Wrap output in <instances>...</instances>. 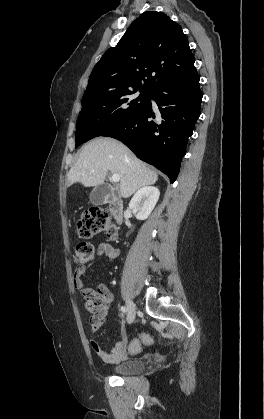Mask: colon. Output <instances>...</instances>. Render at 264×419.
Instances as JSON below:
<instances>
[{
	"label": "colon",
	"instance_id": "obj_1",
	"mask_svg": "<svg viewBox=\"0 0 264 419\" xmlns=\"http://www.w3.org/2000/svg\"><path fill=\"white\" fill-rule=\"evenodd\" d=\"M101 232H105L111 240H115L117 237V227L106 209H91L78 219L77 233L82 239H88ZM73 257L77 264L86 265L91 263L94 258L93 246L86 240L79 241L75 246ZM86 307L89 311H94L97 309L98 303L92 298H87ZM90 322L93 323V319ZM151 342H153L151 335L141 334L130 344L132 350L138 352Z\"/></svg>",
	"mask_w": 264,
	"mask_h": 419
}]
</instances>
